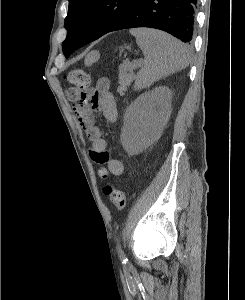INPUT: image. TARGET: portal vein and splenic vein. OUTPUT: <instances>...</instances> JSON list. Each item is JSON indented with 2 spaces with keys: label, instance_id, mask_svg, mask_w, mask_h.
I'll return each instance as SVG.
<instances>
[{
  "label": "portal vein and splenic vein",
  "instance_id": "portal-vein-and-splenic-vein-1",
  "mask_svg": "<svg viewBox=\"0 0 245 300\" xmlns=\"http://www.w3.org/2000/svg\"><path fill=\"white\" fill-rule=\"evenodd\" d=\"M141 63H142L141 60H139V61L133 60L134 66H139Z\"/></svg>",
  "mask_w": 245,
  "mask_h": 300
}]
</instances>
